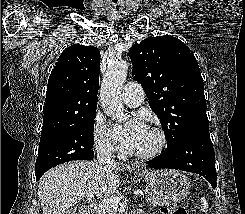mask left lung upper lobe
I'll return each instance as SVG.
<instances>
[{
  "mask_svg": "<svg viewBox=\"0 0 245 214\" xmlns=\"http://www.w3.org/2000/svg\"><path fill=\"white\" fill-rule=\"evenodd\" d=\"M132 75L160 119L167 150L197 132H209L204 83L194 54L172 36L149 37L129 52Z\"/></svg>",
  "mask_w": 245,
  "mask_h": 214,
  "instance_id": "1",
  "label": "left lung upper lobe"
}]
</instances>
